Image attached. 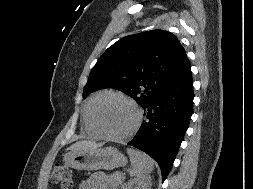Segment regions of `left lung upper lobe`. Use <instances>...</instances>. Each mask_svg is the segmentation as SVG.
Listing matches in <instances>:
<instances>
[{
  "label": "left lung upper lobe",
  "mask_w": 253,
  "mask_h": 189,
  "mask_svg": "<svg viewBox=\"0 0 253 189\" xmlns=\"http://www.w3.org/2000/svg\"><path fill=\"white\" fill-rule=\"evenodd\" d=\"M186 59L184 48L170 32L151 30L126 36L99 58L83 97L99 89L113 88L143 107L179 72Z\"/></svg>",
  "instance_id": "left-lung-upper-lobe-1"
}]
</instances>
